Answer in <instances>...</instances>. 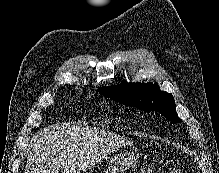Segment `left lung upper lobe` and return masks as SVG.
Here are the masks:
<instances>
[{"instance_id":"obj_1","label":"left lung upper lobe","mask_w":219,"mask_h":173,"mask_svg":"<svg viewBox=\"0 0 219 173\" xmlns=\"http://www.w3.org/2000/svg\"><path fill=\"white\" fill-rule=\"evenodd\" d=\"M98 91L116 102L144 111H156L172 122H180L175 101L170 93L162 92L157 83H128L99 88Z\"/></svg>"}]
</instances>
